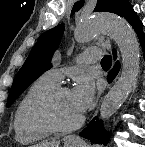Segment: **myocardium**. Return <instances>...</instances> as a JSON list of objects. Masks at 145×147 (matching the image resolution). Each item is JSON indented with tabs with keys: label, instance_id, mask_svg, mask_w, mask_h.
Masks as SVG:
<instances>
[{
	"label": "myocardium",
	"instance_id": "f54148a6",
	"mask_svg": "<svg viewBox=\"0 0 145 147\" xmlns=\"http://www.w3.org/2000/svg\"><path fill=\"white\" fill-rule=\"evenodd\" d=\"M69 91L66 86H56L48 93L41 96L35 103L34 113L44 122L52 131L57 133H69L78 129L84 118L82 115L72 124L61 123L55 114V103L57 99L63 94Z\"/></svg>",
	"mask_w": 145,
	"mask_h": 147
}]
</instances>
